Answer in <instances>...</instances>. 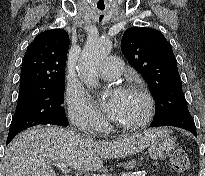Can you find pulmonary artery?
Wrapping results in <instances>:
<instances>
[{
    "label": "pulmonary artery",
    "mask_w": 205,
    "mask_h": 176,
    "mask_svg": "<svg viewBox=\"0 0 205 176\" xmlns=\"http://www.w3.org/2000/svg\"><path fill=\"white\" fill-rule=\"evenodd\" d=\"M124 70L122 61L117 56L107 57L98 68V75L104 79L119 78Z\"/></svg>",
    "instance_id": "pulmonary-artery-1"
}]
</instances>
